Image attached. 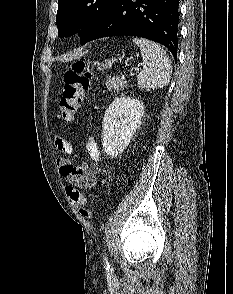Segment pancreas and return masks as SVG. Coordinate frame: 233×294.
<instances>
[{
  "label": "pancreas",
  "instance_id": "cf45deb5",
  "mask_svg": "<svg viewBox=\"0 0 233 294\" xmlns=\"http://www.w3.org/2000/svg\"><path fill=\"white\" fill-rule=\"evenodd\" d=\"M108 90L120 91L127 87V82L125 80H120L117 77L108 79L105 83Z\"/></svg>",
  "mask_w": 233,
  "mask_h": 294
}]
</instances>
